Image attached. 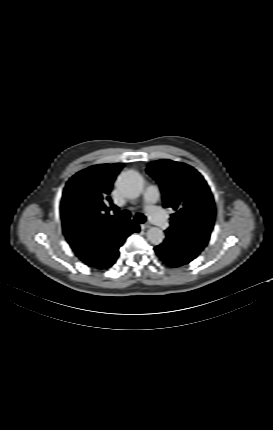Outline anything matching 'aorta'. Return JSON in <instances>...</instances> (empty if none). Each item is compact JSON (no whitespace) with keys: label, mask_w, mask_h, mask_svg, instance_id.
I'll use <instances>...</instances> for the list:
<instances>
[{"label":"aorta","mask_w":273,"mask_h":430,"mask_svg":"<svg viewBox=\"0 0 273 430\" xmlns=\"http://www.w3.org/2000/svg\"><path fill=\"white\" fill-rule=\"evenodd\" d=\"M117 187L121 193L128 198H137L144 187L142 176L134 170L122 172L117 179ZM147 239L153 245L163 242L164 233L158 227H152L147 231Z\"/></svg>","instance_id":"762f6f07"}]
</instances>
